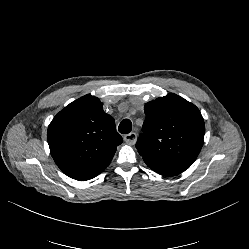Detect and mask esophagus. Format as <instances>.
Returning <instances> with one entry per match:
<instances>
[{"instance_id": "1", "label": "esophagus", "mask_w": 249, "mask_h": 249, "mask_svg": "<svg viewBox=\"0 0 249 249\" xmlns=\"http://www.w3.org/2000/svg\"><path fill=\"white\" fill-rule=\"evenodd\" d=\"M123 140L130 145H134L137 141V134L135 132H131L129 134L124 135Z\"/></svg>"}]
</instances>
